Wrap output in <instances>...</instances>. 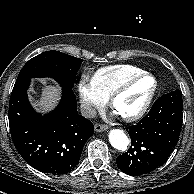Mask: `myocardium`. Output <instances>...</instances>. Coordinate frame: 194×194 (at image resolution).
Segmentation results:
<instances>
[{"instance_id": "1", "label": "myocardium", "mask_w": 194, "mask_h": 194, "mask_svg": "<svg viewBox=\"0 0 194 194\" xmlns=\"http://www.w3.org/2000/svg\"><path fill=\"white\" fill-rule=\"evenodd\" d=\"M145 77H150L153 79L154 81V86L153 89L151 90L149 96L147 97V99L145 100V102L143 103V105L141 106V108L135 112L134 114L131 115H119L118 116L127 122H133V121H137L139 119H141L148 111V109L150 108L156 94L158 91V80L157 78L150 72L147 71H143L137 75H134L128 79H126L125 81H123L110 95V97L108 98V102L110 107L114 110V104L115 101L122 95L124 94L132 85H134L136 82H138L139 80L145 78ZM115 111V110H114Z\"/></svg>"}]
</instances>
